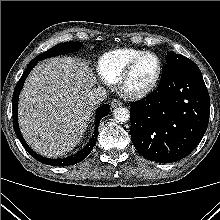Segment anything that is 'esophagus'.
I'll list each match as a JSON object with an SVG mask.
<instances>
[{
    "mask_svg": "<svg viewBox=\"0 0 220 220\" xmlns=\"http://www.w3.org/2000/svg\"><path fill=\"white\" fill-rule=\"evenodd\" d=\"M121 105V102L120 100H117V99H113L112 102H111V106L114 108V107H117Z\"/></svg>",
    "mask_w": 220,
    "mask_h": 220,
    "instance_id": "1",
    "label": "esophagus"
}]
</instances>
